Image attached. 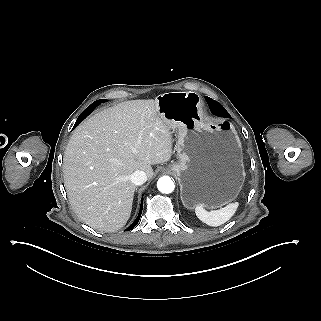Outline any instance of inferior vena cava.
<instances>
[{"label": "inferior vena cava", "instance_id": "obj_1", "mask_svg": "<svg viewBox=\"0 0 321 321\" xmlns=\"http://www.w3.org/2000/svg\"><path fill=\"white\" fill-rule=\"evenodd\" d=\"M130 180L135 185H142L147 181V175L144 171L136 170L130 175Z\"/></svg>", "mask_w": 321, "mask_h": 321}]
</instances>
